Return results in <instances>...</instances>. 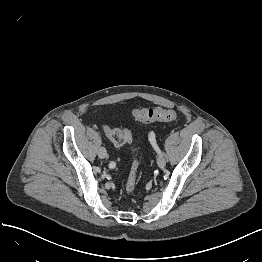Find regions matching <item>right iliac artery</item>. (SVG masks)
<instances>
[{"instance_id": "1", "label": "right iliac artery", "mask_w": 262, "mask_h": 262, "mask_svg": "<svg viewBox=\"0 0 262 262\" xmlns=\"http://www.w3.org/2000/svg\"><path fill=\"white\" fill-rule=\"evenodd\" d=\"M112 165L114 166L115 163H114V162H110V163H109V167H112Z\"/></svg>"}]
</instances>
